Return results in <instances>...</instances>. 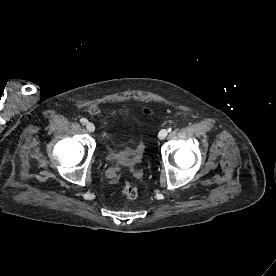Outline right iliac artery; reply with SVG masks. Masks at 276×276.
Returning a JSON list of instances; mask_svg holds the SVG:
<instances>
[{"mask_svg": "<svg viewBox=\"0 0 276 276\" xmlns=\"http://www.w3.org/2000/svg\"><path fill=\"white\" fill-rule=\"evenodd\" d=\"M80 122L82 125H86L88 123L87 119L85 118L80 119Z\"/></svg>", "mask_w": 276, "mask_h": 276, "instance_id": "82829eb1", "label": "right iliac artery"}]
</instances>
